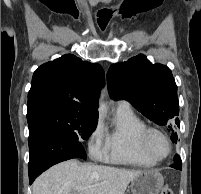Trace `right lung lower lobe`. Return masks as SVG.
I'll return each instance as SVG.
<instances>
[{"mask_svg": "<svg viewBox=\"0 0 201 194\" xmlns=\"http://www.w3.org/2000/svg\"><path fill=\"white\" fill-rule=\"evenodd\" d=\"M30 160L28 165L29 182L52 165L78 158L85 153L81 143L61 132L40 125L29 131Z\"/></svg>", "mask_w": 201, "mask_h": 194, "instance_id": "right-lung-lower-lobe-1", "label": "right lung lower lobe"}]
</instances>
